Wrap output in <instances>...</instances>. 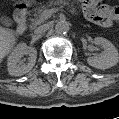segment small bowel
I'll return each mask as SVG.
<instances>
[{
    "mask_svg": "<svg viewBox=\"0 0 119 119\" xmlns=\"http://www.w3.org/2000/svg\"><path fill=\"white\" fill-rule=\"evenodd\" d=\"M80 6L84 17L103 28H109L119 19V7L110 6L97 0H83Z\"/></svg>",
    "mask_w": 119,
    "mask_h": 119,
    "instance_id": "small-bowel-1",
    "label": "small bowel"
}]
</instances>
